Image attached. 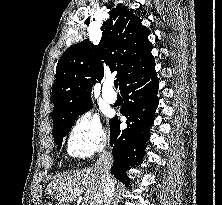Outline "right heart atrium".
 <instances>
[{"mask_svg": "<svg viewBox=\"0 0 222 205\" xmlns=\"http://www.w3.org/2000/svg\"><path fill=\"white\" fill-rule=\"evenodd\" d=\"M107 140L99 119L93 114L84 113L69 131L67 151L73 157H90L103 149Z\"/></svg>", "mask_w": 222, "mask_h": 205, "instance_id": "1", "label": "right heart atrium"}]
</instances>
